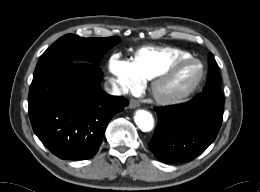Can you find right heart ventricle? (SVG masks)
I'll list each match as a JSON object with an SVG mask.
<instances>
[{
	"instance_id": "1",
	"label": "right heart ventricle",
	"mask_w": 260,
	"mask_h": 192,
	"mask_svg": "<svg viewBox=\"0 0 260 192\" xmlns=\"http://www.w3.org/2000/svg\"><path fill=\"white\" fill-rule=\"evenodd\" d=\"M190 54L176 48H142L132 62L142 80H150L173 63L189 58Z\"/></svg>"
}]
</instances>
